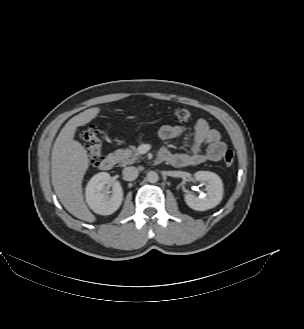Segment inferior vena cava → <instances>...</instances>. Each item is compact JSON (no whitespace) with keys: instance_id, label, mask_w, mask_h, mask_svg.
Wrapping results in <instances>:
<instances>
[{"instance_id":"inferior-vena-cava-1","label":"inferior vena cava","mask_w":304,"mask_h":329,"mask_svg":"<svg viewBox=\"0 0 304 329\" xmlns=\"http://www.w3.org/2000/svg\"><path fill=\"white\" fill-rule=\"evenodd\" d=\"M122 174L125 180L133 181L138 177V169L134 166H128L123 169Z\"/></svg>"}]
</instances>
